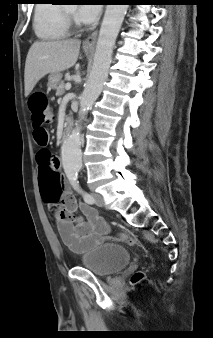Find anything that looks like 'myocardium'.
<instances>
[{
	"label": "myocardium",
	"mask_w": 213,
	"mask_h": 338,
	"mask_svg": "<svg viewBox=\"0 0 213 338\" xmlns=\"http://www.w3.org/2000/svg\"><path fill=\"white\" fill-rule=\"evenodd\" d=\"M62 7H63V20H64L65 26L67 28L71 26L79 27L80 24L75 20L73 14L70 13L64 5H62Z\"/></svg>",
	"instance_id": "1"
}]
</instances>
